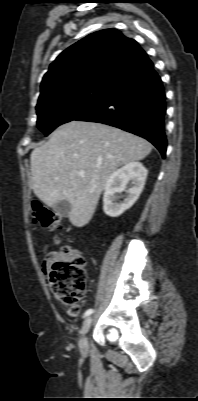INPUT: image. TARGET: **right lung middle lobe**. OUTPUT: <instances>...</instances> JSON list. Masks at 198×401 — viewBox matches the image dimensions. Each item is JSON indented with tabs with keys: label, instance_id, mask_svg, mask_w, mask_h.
<instances>
[{
	"label": "right lung middle lobe",
	"instance_id": "dd1d6c3e",
	"mask_svg": "<svg viewBox=\"0 0 198 401\" xmlns=\"http://www.w3.org/2000/svg\"><path fill=\"white\" fill-rule=\"evenodd\" d=\"M108 85H83L62 90L38 100V128L48 135L61 124L74 120L93 107L105 94Z\"/></svg>",
	"mask_w": 198,
	"mask_h": 401
}]
</instances>
